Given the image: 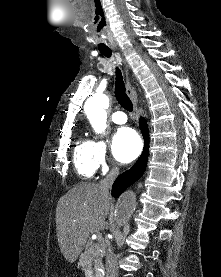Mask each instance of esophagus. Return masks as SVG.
<instances>
[{"mask_svg":"<svg viewBox=\"0 0 221 277\" xmlns=\"http://www.w3.org/2000/svg\"><path fill=\"white\" fill-rule=\"evenodd\" d=\"M123 65L125 67V71H126V75H127V87H126V91L128 96L130 97V99L133 102V115L138 118L139 117V111H138V107H137V94L135 91V88L133 87L130 78H129V65L126 63V61L123 59Z\"/></svg>","mask_w":221,"mask_h":277,"instance_id":"obj_1","label":"esophagus"}]
</instances>
